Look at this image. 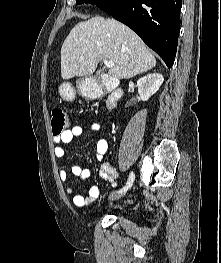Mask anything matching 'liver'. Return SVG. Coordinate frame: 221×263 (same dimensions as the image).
Masks as SVG:
<instances>
[{"label": "liver", "instance_id": "obj_1", "mask_svg": "<svg viewBox=\"0 0 221 263\" xmlns=\"http://www.w3.org/2000/svg\"><path fill=\"white\" fill-rule=\"evenodd\" d=\"M114 62L109 75L130 79L156 65L154 55L140 37L115 19L93 17L76 24L61 48V77L89 76L99 61Z\"/></svg>", "mask_w": 221, "mask_h": 263}]
</instances>
